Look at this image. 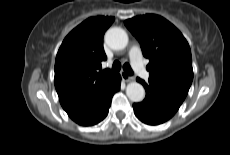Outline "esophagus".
<instances>
[{"label": "esophagus", "instance_id": "1", "mask_svg": "<svg viewBox=\"0 0 230 155\" xmlns=\"http://www.w3.org/2000/svg\"><path fill=\"white\" fill-rule=\"evenodd\" d=\"M122 79L126 82H130L134 80V77L127 75L126 73H121Z\"/></svg>", "mask_w": 230, "mask_h": 155}]
</instances>
